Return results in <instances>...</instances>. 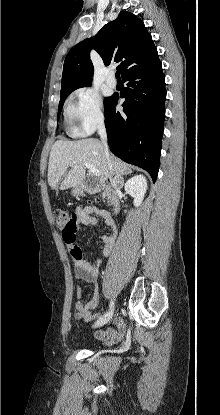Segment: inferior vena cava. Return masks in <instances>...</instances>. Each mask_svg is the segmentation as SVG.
Masks as SVG:
<instances>
[{
	"instance_id": "602c4592",
	"label": "inferior vena cava",
	"mask_w": 220,
	"mask_h": 415,
	"mask_svg": "<svg viewBox=\"0 0 220 415\" xmlns=\"http://www.w3.org/2000/svg\"><path fill=\"white\" fill-rule=\"evenodd\" d=\"M98 134L100 136L101 142L104 146V153H105V157L107 159V163H108V167L110 170V181L112 184V187L117 190L119 188V186L117 185V183L122 180V177L117 175L113 177V168H112V164L110 162L109 159V149H108V144H107V135H106V130H105V126L103 124H100L98 127Z\"/></svg>"
}]
</instances>
